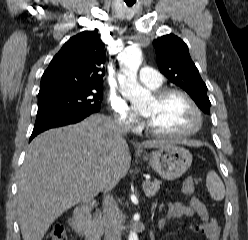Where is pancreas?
<instances>
[{
  "instance_id": "cf45deb5",
  "label": "pancreas",
  "mask_w": 248,
  "mask_h": 240,
  "mask_svg": "<svg viewBox=\"0 0 248 240\" xmlns=\"http://www.w3.org/2000/svg\"><path fill=\"white\" fill-rule=\"evenodd\" d=\"M161 182L154 180L153 182L145 181L144 192L147 197H153L160 189ZM93 225L95 227L96 233L100 234L102 232L103 220L100 213H96L93 219Z\"/></svg>"
}]
</instances>
